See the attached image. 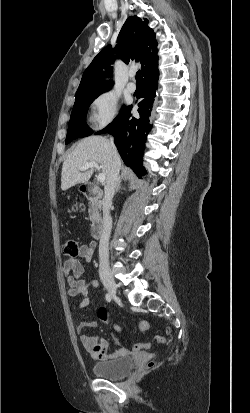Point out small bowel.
Returning <instances> with one entry per match:
<instances>
[{
  "instance_id": "obj_1",
  "label": "small bowel",
  "mask_w": 250,
  "mask_h": 413,
  "mask_svg": "<svg viewBox=\"0 0 250 413\" xmlns=\"http://www.w3.org/2000/svg\"><path fill=\"white\" fill-rule=\"evenodd\" d=\"M95 242L91 241L88 244H83L79 247L78 257L86 261L92 259ZM63 272L66 276L69 288L67 294L69 297L81 296L82 299L78 304V309L86 308L89 303V289L91 287L96 288L98 281L95 278L85 280L82 278L84 273V267L78 258L71 257L65 260L63 264ZM97 326L96 321H83L80 322L76 331L80 336V341L84 349L89 353L94 360H108L121 356L127 352L125 348H120L112 353L109 352V343L96 335H89L83 333L87 328H93ZM114 341L118 343V339L114 338Z\"/></svg>"
}]
</instances>
